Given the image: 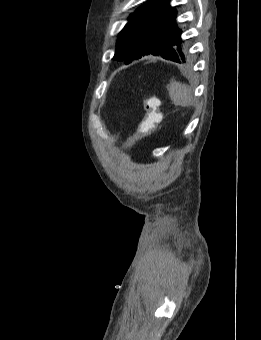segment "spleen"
Instances as JSON below:
<instances>
[{
	"label": "spleen",
	"instance_id": "3e777b00",
	"mask_svg": "<svg viewBox=\"0 0 261 340\" xmlns=\"http://www.w3.org/2000/svg\"><path fill=\"white\" fill-rule=\"evenodd\" d=\"M168 91L174 105L182 107L193 105L194 97L187 85L173 80L168 86Z\"/></svg>",
	"mask_w": 261,
	"mask_h": 340
}]
</instances>
